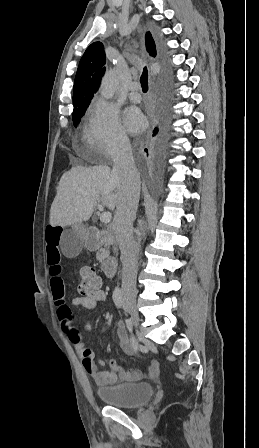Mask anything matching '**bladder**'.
I'll return each mask as SVG.
<instances>
[{
    "label": "bladder",
    "instance_id": "1",
    "mask_svg": "<svg viewBox=\"0 0 259 448\" xmlns=\"http://www.w3.org/2000/svg\"><path fill=\"white\" fill-rule=\"evenodd\" d=\"M153 393L154 388L149 383H123L97 391L103 403L120 408L142 406L152 398Z\"/></svg>",
    "mask_w": 259,
    "mask_h": 448
}]
</instances>
